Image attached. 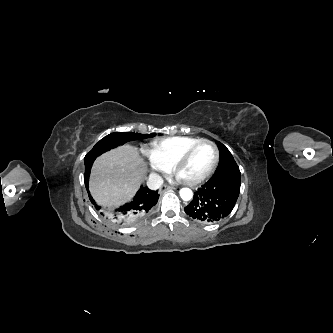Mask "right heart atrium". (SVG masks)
Returning a JSON list of instances; mask_svg holds the SVG:
<instances>
[{"label": "right heart atrium", "instance_id": "d8ad5b80", "mask_svg": "<svg viewBox=\"0 0 333 333\" xmlns=\"http://www.w3.org/2000/svg\"><path fill=\"white\" fill-rule=\"evenodd\" d=\"M142 153L147 159L150 169L153 173L164 174L168 172V169L161 163L153 151L143 149Z\"/></svg>", "mask_w": 333, "mask_h": 333}]
</instances>
